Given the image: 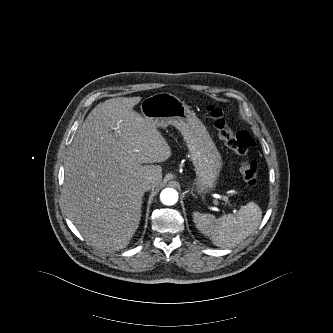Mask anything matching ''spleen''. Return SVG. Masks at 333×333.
Returning <instances> with one entry per match:
<instances>
[{"label":"spleen","instance_id":"3e777b00","mask_svg":"<svg viewBox=\"0 0 333 333\" xmlns=\"http://www.w3.org/2000/svg\"><path fill=\"white\" fill-rule=\"evenodd\" d=\"M261 208L254 202L242 206L235 214L216 218L212 214L193 213L196 228L219 247H230L246 239L259 225Z\"/></svg>","mask_w":333,"mask_h":333}]
</instances>
